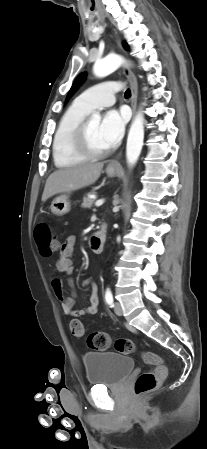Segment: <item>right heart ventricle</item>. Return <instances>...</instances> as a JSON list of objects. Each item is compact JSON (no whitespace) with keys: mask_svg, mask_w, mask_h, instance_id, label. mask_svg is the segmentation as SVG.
Instances as JSON below:
<instances>
[{"mask_svg":"<svg viewBox=\"0 0 207 449\" xmlns=\"http://www.w3.org/2000/svg\"><path fill=\"white\" fill-rule=\"evenodd\" d=\"M89 113V110L74 102L61 117L52 143V155L56 167L68 168L86 160L74 151L72 138L76 127Z\"/></svg>","mask_w":207,"mask_h":449,"instance_id":"obj_1","label":"right heart ventricle"}]
</instances>
